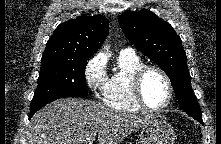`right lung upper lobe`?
Returning <instances> with one entry per match:
<instances>
[{"label": "right lung upper lobe", "instance_id": "1", "mask_svg": "<svg viewBox=\"0 0 221 144\" xmlns=\"http://www.w3.org/2000/svg\"><path fill=\"white\" fill-rule=\"evenodd\" d=\"M108 32V20L102 15H84L64 22L48 40L42 60H88Z\"/></svg>", "mask_w": 221, "mask_h": 144}]
</instances>
